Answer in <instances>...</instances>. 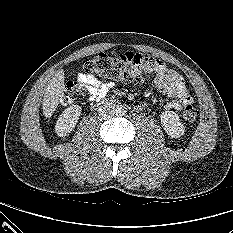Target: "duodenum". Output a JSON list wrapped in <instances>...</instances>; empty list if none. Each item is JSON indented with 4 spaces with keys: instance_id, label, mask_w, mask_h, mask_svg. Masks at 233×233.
Segmentation results:
<instances>
[{
    "instance_id": "obj_1",
    "label": "duodenum",
    "mask_w": 233,
    "mask_h": 233,
    "mask_svg": "<svg viewBox=\"0 0 233 233\" xmlns=\"http://www.w3.org/2000/svg\"><path fill=\"white\" fill-rule=\"evenodd\" d=\"M114 104H117V103L113 99H106L102 102V105L104 106H109V105H114Z\"/></svg>"
}]
</instances>
